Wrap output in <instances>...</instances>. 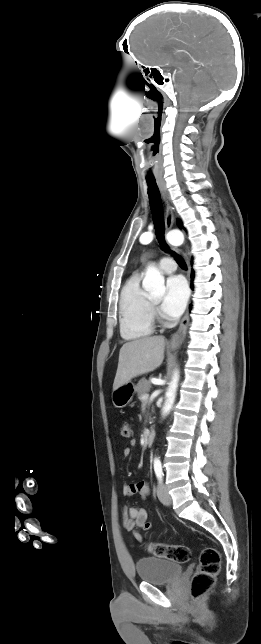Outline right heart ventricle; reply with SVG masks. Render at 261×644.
Wrapping results in <instances>:
<instances>
[{"label": "right heart ventricle", "mask_w": 261, "mask_h": 644, "mask_svg": "<svg viewBox=\"0 0 261 644\" xmlns=\"http://www.w3.org/2000/svg\"><path fill=\"white\" fill-rule=\"evenodd\" d=\"M121 336L137 340L154 331V312L148 293L140 285V275L133 274L122 287L119 301Z\"/></svg>", "instance_id": "1"}]
</instances>
